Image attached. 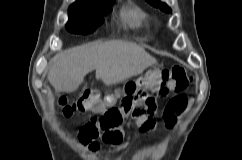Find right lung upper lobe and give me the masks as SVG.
I'll use <instances>...</instances> for the list:
<instances>
[{
  "instance_id": "1",
  "label": "right lung upper lobe",
  "mask_w": 242,
  "mask_h": 160,
  "mask_svg": "<svg viewBox=\"0 0 242 160\" xmlns=\"http://www.w3.org/2000/svg\"><path fill=\"white\" fill-rule=\"evenodd\" d=\"M97 1H113V0H78L77 2H75L73 5H87L90 4L92 2H97Z\"/></svg>"
}]
</instances>
